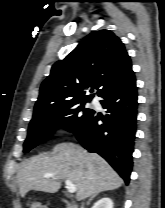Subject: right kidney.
I'll return each instance as SVG.
<instances>
[{"label":"right kidney","mask_w":165,"mask_h":208,"mask_svg":"<svg viewBox=\"0 0 165 208\" xmlns=\"http://www.w3.org/2000/svg\"><path fill=\"white\" fill-rule=\"evenodd\" d=\"M92 208H113V201L105 197L97 201Z\"/></svg>","instance_id":"right-kidney-1"}]
</instances>
